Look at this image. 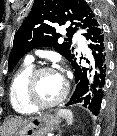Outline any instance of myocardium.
I'll return each instance as SVG.
<instances>
[{"mask_svg": "<svg viewBox=\"0 0 117 136\" xmlns=\"http://www.w3.org/2000/svg\"><path fill=\"white\" fill-rule=\"evenodd\" d=\"M45 72L58 73L56 69L50 66L37 67L31 72L26 83V89H25L26 100L35 110H44V109H50L52 107H55L60 103H62L66 99L69 93V83L67 79L60 74L64 82V89L61 95L56 100L48 103H41L40 101H38L36 97V83L39 76Z\"/></svg>", "mask_w": 117, "mask_h": 136, "instance_id": "f54148a6", "label": "myocardium"}]
</instances>
